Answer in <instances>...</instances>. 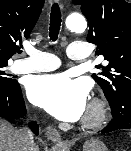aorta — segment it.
Instances as JSON below:
<instances>
[{
	"instance_id": "obj_1",
	"label": "aorta",
	"mask_w": 131,
	"mask_h": 151,
	"mask_svg": "<svg viewBox=\"0 0 131 151\" xmlns=\"http://www.w3.org/2000/svg\"><path fill=\"white\" fill-rule=\"evenodd\" d=\"M66 26L72 32H83L87 22L81 14H71L66 19Z\"/></svg>"
}]
</instances>
